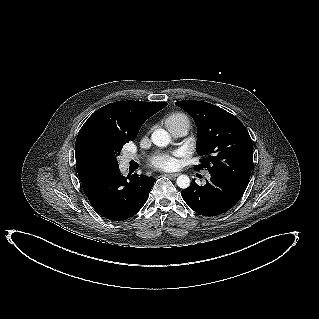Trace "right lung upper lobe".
I'll return each instance as SVG.
<instances>
[{
    "label": "right lung upper lobe",
    "mask_w": 319,
    "mask_h": 319,
    "mask_svg": "<svg viewBox=\"0 0 319 319\" xmlns=\"http://www.w3.org/2000/svg\"><path fill=\"white\" fill-rule=\"evenodd\" d=\"M166 102L117 101L95 111L80 129L76 144V169L82 184L111 171L101 159L88 152L87 144L94 139L126 144L133 141L141 125L163 109Z\"/></svg>",
    "instance_id": "obj_1"
}]
</instances>
